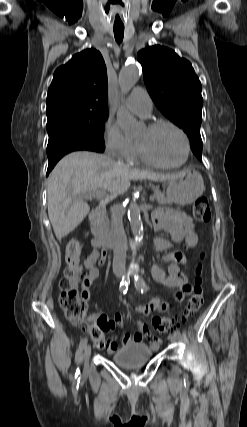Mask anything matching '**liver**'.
Listing matches in <instances>:
<instances>
[{
    "label": "liver",
    "instance_id": "1",
    "mask_svg": "<svg viewBox=\"0 0 247 427\" xmlns=\"http://www.w3.org/2000/svg\"><path fill=\"white\" fill-rule=\"evenodd\" d=\"M173 176L130 168L107 155L88 151L66 155L48 178V215L56 238L61 241L89 213L84 194L105 189L110 193L107 199H111L125 193L131 180L162 182Z\"/></svg>",
    "mask_w": 247,
    "mask_h": 427
}]
</instances>
